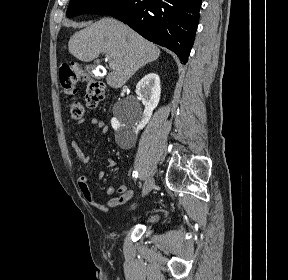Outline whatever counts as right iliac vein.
Here are the masks:
<instances>
[{
  "label": "right iliac vein",
  "instance_id": "1",
  "mask_svg": "<svg viewBox=\"0 0 288 280\" xmlns=\"http://www.w3.org/2000/svg\"><path fill=\"white\" fill-rule=\"evenodd\" d=\"M154 179L153 178H148L146 179L143 188H142V197H144L145 195H147L154 187Z\"/></svg>",
  "mask_w": 288,
  "mask_h": 280
}]
</instances>
